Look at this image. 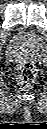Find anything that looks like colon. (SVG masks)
<instances>
[{
	"label": "colon",
	"instance_id": "obj_1",
	"mask_svg": "<svg viewBox=\"0 0 47 129\" xmlns=\"http://www.w3.org/2000/svg\"><path fill=\"white\" fill-rule=\"evenodd\" d=\"M37 75V69L31 62H22L18 68L17 82L21 87L30 86Z\"/></svg>",
	"mask_w": 47,
	"mask_h": 129
}]
</instances>
